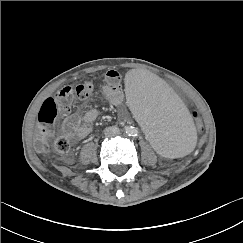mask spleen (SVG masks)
I'll list each match as a JSON object with an SVG mask.
<instances>
[{
    "label": "spleen",
    "instance_id": "3e777b00",
    "mask_svg": "<svg viewBox=\"0 0 243 243\" xmlns=\"http://www.w3.org/2000/svg\"><path fill=\"white\" fill-rule=\"evenodd\" d=\"M127 105L155 152L178 159L190 152L195 133L177 93L156 73L140 70L124 86Z\"/></svg>",
    "mask_w": 243,
    "mask_h": 243
}]
</instances>
